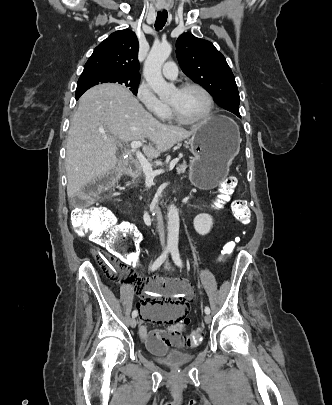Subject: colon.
<instances>
[{"instance_id":"colon-1","label":"colon","mask_w":332,"mask_h":405,"mask_svg":"<svg viewBox=\"0 0 332 405\" xmlns=\"http://www.w3.org/2000/svg\"><path fill=\"white\" fill-rule=\"evenodd\" d=\"M116 174L107 172L99 176L94 181L86 185L81 191L76 193L71 203L73 210L71 213V225L80 234H89L96 242L106 243L103 247V256L100 263L108 278L116 281L122 264L127 267H135L136 260H139V245L142 238L128 222H118L114 214L105 207H89L91 202L101 191L107 189L114 181ZM237 186V179L234 176L226 177L220 185V198L217 205L223 206L228 196L233 193ZM231 209L235 218L242 224L250 221V211L248 204L243 199L232 202ZM235 247V241L228 242L224 249L227 254L231 253ZM110 256H120L119 260ZM185 288V287H180ZM182 325H192V316H182ZM208 332L206 325H198L195 330L184 333L182 338L186 339L187 351H198L199 343L203 335Z\"/></svg>"}]
</instances>
